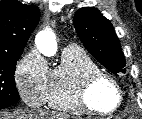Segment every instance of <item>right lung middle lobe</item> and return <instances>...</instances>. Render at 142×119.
I'll list each match as a JSON object with an SVG mask.
<instances>
[{"label": "right lung middle lobe", "instance_id": "right-lung-middle-lobe-1", "mask_svg": "<svg viewBox=\"0 0 142 119\" xmlns=\"http://www.w3.org/2000/svg\"><path fill=\"white\" fill-rule=\"evenodd\" d=\"M20 56L14 54L0 57V108H8L19 100L14 73Z\"/></svg>", "mask_w": 142, "mask_h": 119}]
</instances>
